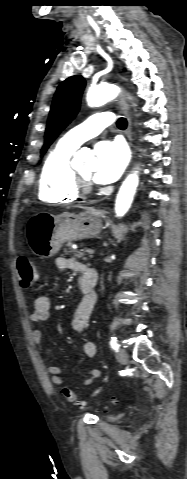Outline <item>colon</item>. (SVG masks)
Listing matches in <instances>:
<instances>
[{
	"mask_svg": "<svg viewBox=\"0 0 187 479\" xmlns=\"http://www.w3.org/2000/svg\"><path fill=\"white\" fill-rule=\"evenodd\" d=\"M16 266L21 287L30 288L38 278L37 269L27 256H19L16 260ZM61 393L69 402L79 406L82 405L78 396L71 389L64 387Z\"/></svg>",
	"mask_w": 187,
	"mask_h": 479,
	"instance_id": "1",
	"label": "colon"
}]
</instances>
